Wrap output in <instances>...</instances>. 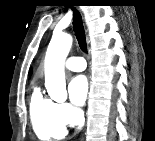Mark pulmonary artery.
<instances>
[{"instance_id":"obj_1","label":"pulmonary artery","mask_w":155,"mask_h":141,"mask_svg":"<svg viewBox=\"0 0 155 141\" xmlns=\"http://www.w3.org/2000/svg\"><path fill=\"white\" fill-rule=\"evenodd\" d=\"M66 67L72 71H83L86 68V62L82 57L72 56L67 59Z\"/></svg>"}]
</instances>
